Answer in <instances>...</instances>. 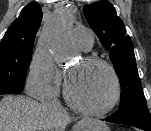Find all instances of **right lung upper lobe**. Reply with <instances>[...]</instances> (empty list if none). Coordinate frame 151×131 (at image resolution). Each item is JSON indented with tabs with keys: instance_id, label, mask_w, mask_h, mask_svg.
<instances>
[{
	"instance_id": "right-lung-upper-lobe-1",
	"label": "right lung upper lobe",
	"mask_w": 151,
	"mask_h": 131,
	"mask_svg": "<svg viewBox=\"0 0 151 131\" xmlns=\"http://www.w3.org/2000/svg\"><path fill=\"white\" fill-rule=\"evenodd\" d=\"M41 20L42 10L40 5L36 2L29 3L10 25L1 43L33 45Z\"/></svg>"
}]
</instances>
